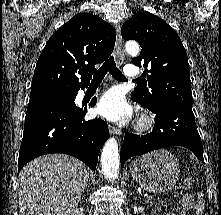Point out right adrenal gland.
<instances>
[{
    "label": "right adrenal gland",
    "mask_w": 221,
    "mask_h": 215,
    "mask_svg": "<svg viewBox=\"0 0 221 215\" xmlns=\"http://www.w3.org/2000/svg\"><path fill=\"white\" fill-rule=\"evenodd\" d=\"M89 187H90V180H88V182L86 184V187H85V190H89Z\"/></svg>",
    "instance_id": "1"
}]
</instances>
